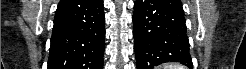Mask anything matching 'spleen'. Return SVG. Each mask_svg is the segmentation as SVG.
I'll use <instances>...</instances> for the list:
<instances>
[{"instance_id":"3e777b00","label":"spleen","mask_w":246,"mask_h":69,"mask_svg":"<svg viewBox=\"0 0 246 69\" xmlns=\"http://www.w3.org/2000/svg\"><path fill=\"white\" fill-rule=\"evenodd\" d=\"M160 69H186V67L183 65L170 63V64L163 65L162 67H160Z\"/></svg>"}]
</instances>
